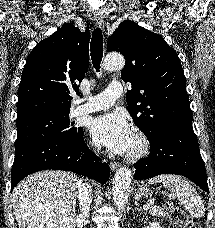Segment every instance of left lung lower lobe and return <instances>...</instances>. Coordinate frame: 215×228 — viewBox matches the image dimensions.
<instances>
[{
  "instance_id": "1",
  "label": "left lung lower lobe",
  "mask_w": 215,
  "mask_h": 228,
  "mask_svg": "<svg viewBox=\"0 0 215 228\" xmlns=\"http://www.w3.org/2000/svg\"><path fill=\"white\" fill-rule=\"evenodd\" d=\"M149 142V156L134 164V179L178 174L187 177L209 193L205 164L192 122H180L162 127Z\"/></svg>"
}]
</instances>
